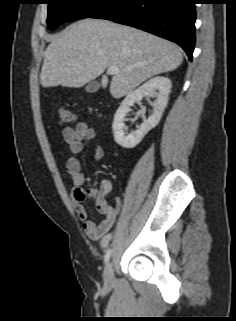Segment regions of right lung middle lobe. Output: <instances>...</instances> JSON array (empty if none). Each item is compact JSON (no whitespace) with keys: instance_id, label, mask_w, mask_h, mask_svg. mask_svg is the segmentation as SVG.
Wrapping results in <instances>:
<instances>
[{"instance_id":"1","label":"right lung middle lobe","mask_w":236,"mask_h":321,"mask_svg":"<svg viewBox=\"0 0 236 321\" xmlns=\"http://www.w3.org/2000/svg\"><path fill=\"white\" fill-rule=\"evenodd\" d=\"M111 0H46L49 4L47 24L55 29L60 24L87 18L104 8Z\"/></svg>"}]
</instances>
